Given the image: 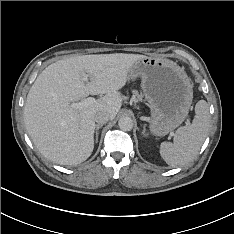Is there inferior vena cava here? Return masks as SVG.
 I'll return each mask as SVG.
<instances>
[{
    "mask_svg": "<svg viewBox=\"0 0 234 234\" xmlns=\"http://www.w3.org/2000/svg\"><path fill=\"white\" fill-rule=\"evenodd\" d=\"M109 119H111V115L104 110L98 111L94 116V120L98 124H105L109 121Z\"/></svg>",
    "mask_w": 234,
    "mask_h": 234,
    "instance_id": "inferior-vena-cava-1",
    "label": "inferior vena cava"
}]
</instances>
